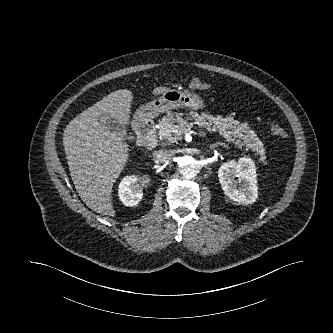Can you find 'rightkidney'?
Here are the masks:
<instances>
[{
  "label": "right kidney",
  "instance_id": "right-kidney-1",
  "mask_svg": "<svg viewBox=\"0 0 333 333\" xmlns=\"http://www.w3.org/2000/svg\"><path fill=\"white\" fill-rule=\"evenodd\" d=\"M119 199L126 206L137 205L143 196L142 186L136 176H129L122 180L118 190Z\"/></svg>",
  "mask_w": 333,
  "mask_h": 333
}]
</instances>
